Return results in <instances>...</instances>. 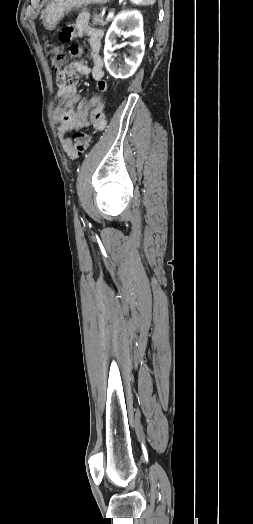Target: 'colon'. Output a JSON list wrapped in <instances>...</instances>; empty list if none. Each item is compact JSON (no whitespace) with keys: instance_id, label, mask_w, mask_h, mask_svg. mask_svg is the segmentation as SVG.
Segmentation results:
<instances>
[{"instance_id":"obj_1","label":"colon","mask_w":253,"mask_h":524,"mask_svg":"<svg viewBox=\"0 0 253 524\" xmlns=\"http://www.w3.org/2000/svg\"><path fill=\"white\" fill-rule=\"evenodd\" d=\"M62 43L47 39L45 41V48L47 55L49 57V60L51 62L52 69L54 71H61L64 63L66 62L67 56L65 54V50L63 49ZM72 151L71 156L72 157H78L83 155L89 147L90 144V137L87 133L83 131H77L73 134L72 140Z\"/></svg>"}]
</instances>
